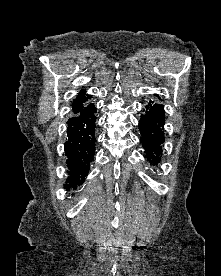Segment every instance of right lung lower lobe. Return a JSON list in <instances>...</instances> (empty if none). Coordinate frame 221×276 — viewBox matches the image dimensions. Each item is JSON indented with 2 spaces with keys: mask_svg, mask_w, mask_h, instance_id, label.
<instances>
[{
  "mask_svg": "<svg viewBox=\"0 0 221 276\" xmlns=\"http://www.w3.org/2000/svg\"><path fill=\"white\" fill-rule=\"evenodd\" d=\"M95 113L96 108L91 103L67 122V140L64 147L68 168L64 187L67 190H76L88 175L95 154Z\"/></svg>",
  "mask_w": 221,
  "mask_h": 276,
  "instance_id": "98d812e1",
  "label": "right lung lower lobe"
}]
</instances>
